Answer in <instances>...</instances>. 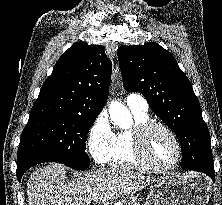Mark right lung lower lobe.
I'll list each match as a JSON object with an SVG mask.
<instances>
[{
  "instance_id": "obj_1",
  "label": "right lung lower lobe",
  "mask_w": 222,
  "mask_h": 205,
  "mask_svg": "<svg viewBox=\"0 0 222 205\" xmlns=\"http://www.w3.org/2000/svg\"><path fill=\"white\" fill-rule=\"evenodd\" d=\"M42 162H48L46 159L41 158V157H36V158H30L22 161H17V178L20 181L22 175L24 172L29 169L30 167L42 163Z\"/></svg>"
}]
</instances>
